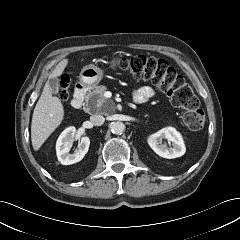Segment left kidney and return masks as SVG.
<instances>
[{"instance_id": "left-kidney-1", "label": "left kidney", "mask_w": 240, "mask_h": 240, "mask_svg": "<svg viewBox=\"0 0 240 240\" xmlns=\"http://www.w3.org/2000/svg\"><path fill=\"white\" fill-rule=\"evenodd\" d=\"M163 139L172 142V147H167L165 143H162ZM147 142L156 154L167 159L180 157L186 151L181 134L173 127H165L151 134Z\"/></svg>"}]
</instances>
